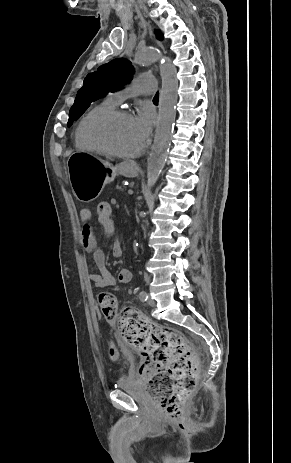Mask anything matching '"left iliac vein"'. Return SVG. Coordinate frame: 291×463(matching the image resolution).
Returning <instances> with one entry per match:
<instances>
[{"instance_id":"4c4485c4","label":"left iliac vein","mask_w":291,"mask_h":463,"mask_svg":"<svg viewBox=\"0 0 291 463\" xmlns=\"http://www.w3.org/2000/svg\"><path fill=\"white\" fill-rule=\"evenodd\" d=\"M147 304H148L149 306H154V305H155V300L152 299L151 297H149V298L147 299Z\"/></svg>"}]
</instances>
